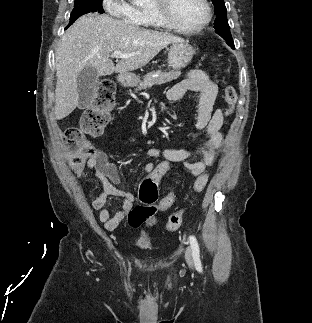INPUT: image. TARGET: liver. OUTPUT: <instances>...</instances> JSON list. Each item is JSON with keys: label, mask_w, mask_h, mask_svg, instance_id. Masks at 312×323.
<instances>
[{"label": "liver", "mask_w": 312, "mask_h": 323, "mask_svg": "<svg viewBox=\"0 0 312 323\" xmlns=\"http://www.w3.org/2000/svg\"><path fill=\"white\" fill-rule=\"evenodd\" d=\"M182 38L165 32L134 28L107 14H85L66 30L55 52V118L69 116L79 102L77 78L84 68H96L99 76L126 74L146 66L160 50ZM113 52L135 54L114 66Z\"/></svg>", "instance_id": "6515ba94"}]
</instances>
